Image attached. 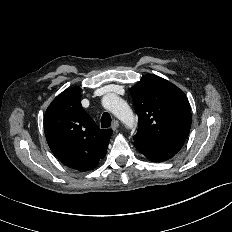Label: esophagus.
<instances>
[{
	"label": "esophagus",
	"instance_id": "1",
	"mask_svg": "<svg viewBox=\"0 0 232 232\" xmlns=\"http://www.w3.org/2000/svg\"><path fill=\"white\" fill-rule=\"evenodd\" d=\"M119 127V122L115 120L111 126L112 130L116 131L117 128Z\"/></svg>",
	"mask_w": 232,
	"mask_h": 232
}]
</instances>
